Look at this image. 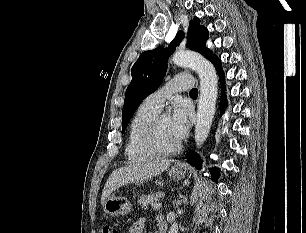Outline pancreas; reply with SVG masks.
I'll use <instances>...</instances> for the list:
<instances>
[{"instance_id": "1", "label": "pancreas", "mask_w": 306, "mask_h": 233, "mask_svg": "<svg viewBox=\"0 0 306 233\" xmlns=\"http://www.w3.org/2000/svg\"><path fill=\"white\" fill-rule=\"evenodd\" d=\"M161 196H162V193H154V194L142 196L138 200V204L141 206V208L147 209L149 204L156 203Z\"/></svg>"}]
</instances>
